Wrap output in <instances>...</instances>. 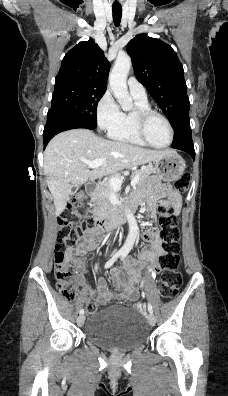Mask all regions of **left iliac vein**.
Masks as SVG:
<instances>
[{
    "label": "left iliac vein",
    "instance_id": "obj_1",
    "mask_svg": "<svg viewBox=\"0 0 228 396\" xmlns=\"http://www.w3.org/2000/svg\"><path fill=\"white\" fill-rule=\"evenodd\" d=\"M148 323H149V325L150 326H154L155 325V323H156V317H155V315L152 313V314H149V316H148Z\"/></svg>",
    "mask_w": 228,
    "mask_h": 396
}]
</instances>
